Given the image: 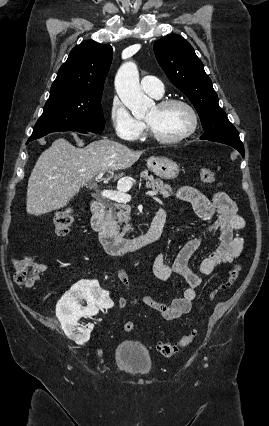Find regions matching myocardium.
<instances>
[{
	"label": "myocardium",
	"instance_id": "myocardium-1",
	"mask_svg": "<svg viewBox=\"0 0 269 426\" xmlns=\"http://www.w3.org/2000/svg\"><path fill=\"white\" fill-rule=\"evenodd\" d=\"M172 105H181L184 106L190 113L191 118H192V124L190 126V128L184 132L183 134L176 136V137H162L161 135H159L154 128L148 123L146 122V127H147V132H148V136L158 142V143H162V144H176V143H180L184 140H186L187 138L191 137L198 129L199 126V117L198 114L195 110V108L186 100L180 99V98H166L163 100H160L157 103V106L161 109L167 108L169 106Z\"/></svg>",
	"mask_w": 269,
	"mask_h": 426
}]
</instances>
